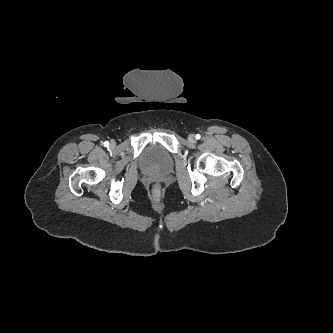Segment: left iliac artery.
<instances>
[{"instance_id": "1", "label": "left iliac artery", "mask_w": 333, "mask_h": 333, "mask_svg": "<svg viewBox=\"0 0 333 333\" xmlns=\"http://www.w3.org/2000/svg\"><path fill=\"white\" fill-rule=\"evenodd\" d=\"M200 137H201V136H200L199 134L196 135V139H200Z\"/></svg>"}]
</instances>
